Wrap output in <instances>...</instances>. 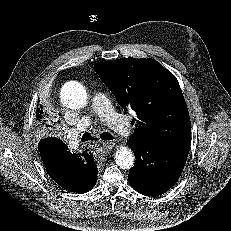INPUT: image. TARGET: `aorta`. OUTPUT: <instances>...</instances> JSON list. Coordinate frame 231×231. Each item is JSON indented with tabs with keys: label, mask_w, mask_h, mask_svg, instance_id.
<instances>
[{
	"label": "aorta",
	"mask_w": 231,
	"mask_h": 231,
	"mask_svg": "<svg viewBox=\"0 0 231 231\" xmlns=\"http://www.w3.org/2000/svg\"><path fill=\"white\" fill-rule=\"evenodd\" d=\"M62 104L69 109H80L88 102L87 91L82 84L70 81L63 85L60 91ZM134 154L125 146H121L115 153V162L121 169H131L134 165Z\"/></svg>",
	"instance_id": "aorta-1"
}]
</instances>
